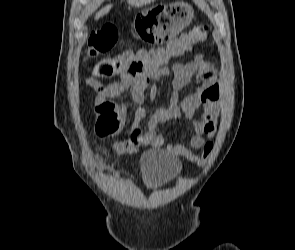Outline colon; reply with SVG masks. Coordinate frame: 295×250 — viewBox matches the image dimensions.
I'll use <instances>...</instances> for the list:
<instances>
[{
	"label": "colon",
	"instance_id": "colon-1",
	"mask_svg": "<svg viewBox=\"0 0 295 250\" xmlns=\"http://www.w3.org/2000/svg\"><path fill=\"white\" fill-rule=\"evenodd\" d=\"M210 32L208 24L194 26L189 32L181 34L172 40L168 46L173 50L188 51L195 44L204 42ZM118 32L113 25H104L100 29L91 33L88 39L87 58L91 59L110 51L117 43ZM119 57L104 58L99 60L93 67L92 73L96 77L107 78L114 76L121 68ZM122 109L113 102L105 101L95 107V130L101 137H110L121 129L124 123ZM213 143L208 142L204 145L200 157L192 156L190 160L203 165L210 157L213 150Z\"/></svg>",
	"mask_w": 295,
	"mask_h": 250
}]
</instances>
